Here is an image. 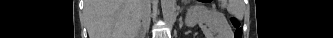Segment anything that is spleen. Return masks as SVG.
<instances>
[{
	"label": "spleen",
	"instance_id": "obj_1",
	"mask_svg": "<svg viewBox=\"0 0 333 38\" xmlns=\"http://www.w3.org/2000/svg\"><path fill=\"white\" fill-rule=\"evenodd\" d=\"M232 12H233L234 14H236V10H235V9H233Z\"/></svg>",
	"mask_w": 333,
	"mask_h": 38
}]
</instances>
